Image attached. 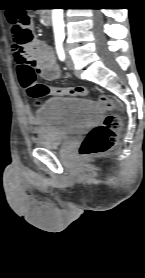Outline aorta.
<instances>
[{
	"mask_svg": "<svg viewBox=\"0 0 145 278\" xmlns=\"http://www.w3.org/2000/svg\"><path fill=\"white\" fill-rule=\"evenodd\" d=\"M52 21L55 36L64 37L63 9H53Z\"/></svg>",
	"mask_w": 145,
	"mask_h": 278,
	"instance_id": "762f6f07",
	"label": "aorta"
}]
</instances>
